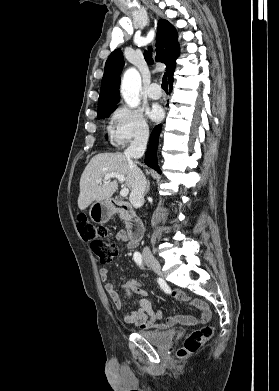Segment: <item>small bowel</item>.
<instances>
[{
	"label": "small bowel",
	"instance_id": "obj_1",
	"mask_svg": "<svg viewBox=\"0 0 279 391\" xmlns=\"http://www.w3.org/2000/svg\"><path fill=\"white\" fill-rule=\"evenodd\" d=\"M116 239L120 242L126 243L129 249L135 247L131 245L128 234L125 231H119L116 234ZM100 277L102 281L105 282V290L111 298L115 308L117 310H121L122 301L114 285L109 282V270L102 268L100 270ZM124 287L141 295V298L137 300L139 309L130 313L122 314V319L127 324H133L141 329L164 330L176 324L186 326L205 324L211 319V311L205 302L199 299H193L182 291L173 290L169 293L172 297L188 302L198 310L199 315L170 316L167 318L165 323H157V321L163 317V311L162 309H153L151 302L146 298V293L142 289L141 284L135 280H130L124 285Z\"/></svg>",
	"mask_w": 279,
	"mask_h": 391
}]
</instances>
